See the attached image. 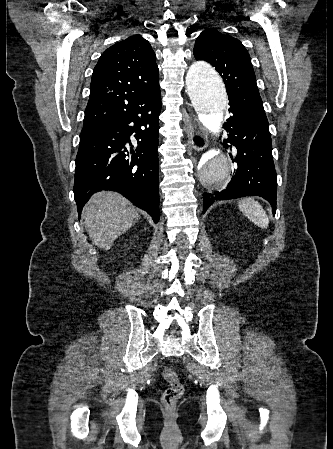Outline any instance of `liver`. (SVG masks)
I'll return each instance as SVG.
<instances>
[{
    "label": "liver",
    "instance_id": "liver-1",
    "mask_svg": "<svg viewBox=\"0 0 333 449\" xmlns=\"http://www.w3.org/2000/svg\"><path fill=\"white\" fill-rule=\"evenodd\" d=\"M86 232L98 248L109 250L120 235L139 220L140 215L126 198L115 192H99L83 210Z\"/></svg>",
    "mask_w": 333,
    "mask_h": 449
}]
</instances>
